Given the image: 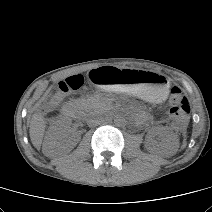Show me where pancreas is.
<instances>
[{"mask_svg":"<svg viewBox=\"0 0 212 212\" xmlns=\"http://www.w3.org/2000/svg\"><path fill=\"white\" fill-rule=\"evenodd\" d=\"M76 104L84 111V112H91L97 111L102 108V102L99 98L88 96V97H81L76 100Z\"/></svg>","mask_w":212,"mask_h":212,"instance_id":"cf45deb5","label":"pancreas"}]
</instances>
